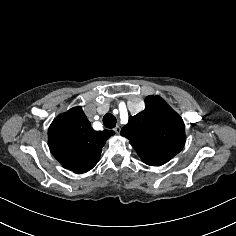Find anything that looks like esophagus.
Masks as SVG:
<instances>
[{
    "mask_svg": "<svg viewBox=\"0 0 236 236\" xmlns=\"http://www.w3.org/2000/svg\"><path fill=\"white\" fill-rule=\"evenodd\" d=\"M114 131H115L117 134H119L120 131H121V128H120L119 126H116V127L114 128Z\"/></svg>",
    "mask_w": 236,
    "mask_h": 236,
    "instance_id": "34e87169",
    "label": "esophagus"
}]
</instances>
